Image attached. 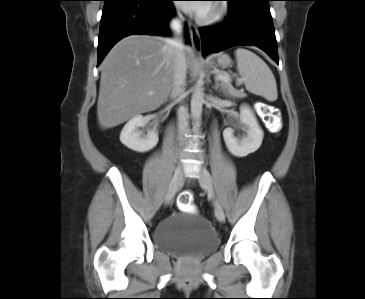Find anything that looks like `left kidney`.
<instances>
[{"label":"left kidney","instance_id":"1","mask_svg":"<svg viewBox=\"0 0 365 299\" xmlns=\"http://www.w3.org/2000/svg\"><path fill=\"white\" fill-rule=\"evenodd\" d=\"M240 122L246 127V136L237 138L234 136L232 128H226L223 131V138L228 150L234 156L245 157L258 150L262 144L264 133L253 111L247 105H242L240 108Z\"/></svg>","mask_w":365,"mask_h":299}]
</instances>
